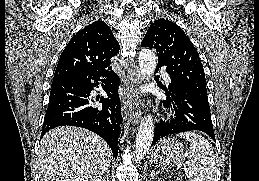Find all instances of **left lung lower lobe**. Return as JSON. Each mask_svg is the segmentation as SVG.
<instances>
[{
  "mask_svg": "<svg viewBox=\"0 0 259 181\" xmlns=\"http://www.w3.org/2000/svg\"><path fill=\"white\" fill-rule=\"evenodd\" d=\"M160 67L161 65L158 64L156 71ZM162 89L167 95L164 105L173 106L176 117L168 122L161 121L156 125L152 145L165 136L191 130L203 131L215 140L209 106L172 83Z\"/></svg>",
  "mask_w": 259,
  "mask_h": 181,
  "instance_id": "0a47b994",
  "label": "left lung lower lobe"
}]
</instances>
